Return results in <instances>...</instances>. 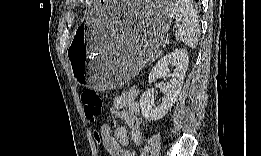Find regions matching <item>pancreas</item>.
I'll return each instance as SVG.
<instances>
[{"instance_id": "pancreas-1", "label": "pancreas", "mask_w": 261, "mask_h": 156, "mask_svg": "<svg viewBox=\"0 0 261 156\" xmlns=\"http://www.w3.org/2000/svg\"><path fill=\"white\" fill-rule=\"evenodd\" d=\"M160 54H161L160 52H157V51H156V52L148 59V61H149V60H150V61H155V60L160 56ZM148 61H147V62H148ZM147 62H146V63H147Z\"/></svg>"}]
</instances>
